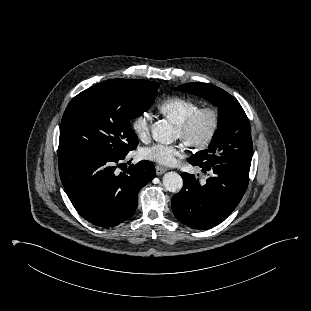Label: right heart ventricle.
<instances>
[{
	"mask_svg": "<svg viewBox=\"0 0 311 311\" xmlns=\"http://www.w3.org/2000/svg\"><path fill=\"white\" fill-rule=\"evenodd\" d=\"M199 108L200 105L197 101L182 96L169 97L158 105L159 112L176 126L184 122Z\"/></svg>",
	"mask_w": 311,
	"mask_h": 311,
	"instance_id": "right-heart-ventricle-1",
	"label": "right heart ventricle"
}]
</instances>
